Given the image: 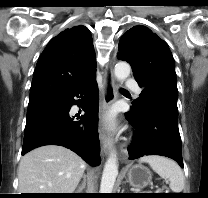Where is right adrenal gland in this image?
I'll return each mask as SVG.
<instances>
[{
    "instance_id": "right-adrenal-gland-1",
    "label": "right adrenal gland",
    "mask_w": 208,
    "mask_h": 198,
    "mask_svg": "<svg viewBox=\"0 0 208 198\" xmlns=\"http://www.w3.org/2000/svg\"><path fill=\"white\" fill-rule=\"evenodd\" d=\"M85 186H86V175L83 176L82 185L80 187H78V189L75 191V193H81L82 190L85 188Z\"/></svg>"
}]
</instances>
